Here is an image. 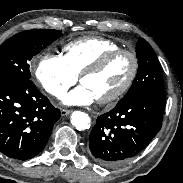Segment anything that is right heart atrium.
<instances>
[{
	"label": "right heart atrium",
	"instance_id": "obj_1",
	"mask_svg": "<svg viewBox=\"0 0 183 183\" xmlns=\"http://www.w3.org/2000/svg\"><path fill=\"white\" fill-rule=\"evenodd\" d=\"M35 75L43 90L58 99L78 80L63 55L47 52L38 56Z\"/></svg>",
	"mask_w": 183,
	"mask_h": 183
}]
</instances>
